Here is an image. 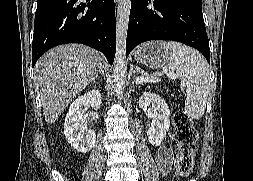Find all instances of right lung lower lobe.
<instances>
[{"label": "right lung lower lobe", "instance_id": "right-lung-lower-lobe-1", "mask_svg": "<svg viewBox=\"0 0 253 181\" xmlns=\"http://www.w3.org/2000/svg\"><path fill=\"white\" fill-rule=\"evenodd\" d=\"M65 43L88 45L112 64L116 51L114 0H37L32 66L44 52Z\"/></svg>", "mask_w": 253, "mask_h": 181}]
</instances>
